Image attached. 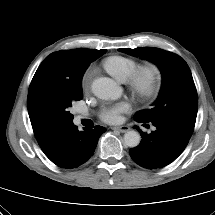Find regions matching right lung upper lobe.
Returning a JSON list of instances; mask_svg holds the SVG:
<instances>
[{
  "mask_svg": "<svg viewBox=\"0 0 215 215\" xmlns=\"http://www.w3.org/2000/svg\"><path fill=\"white\" fill-rule=\"evenodd\" d=\"M100 50L96 49H85V48H78V49H73V50H63V51H58L55 53L50 54L51 56L54 55H60V54H77V55H93ZM31 120V119H30ZM32 128L35 134V137L43 150V152L49 150L52 145L56 142V140L62 135V133L69 127L62 128V129H53V128H48L45 126H42L38 124L37 122L31 120Z\"/></svg>",
  "mask_w": 215,
  "mask_h": 215,
  "instance_id": "cb5924a9",
  "label": "right lung upper lobe"
}]
</instances>
